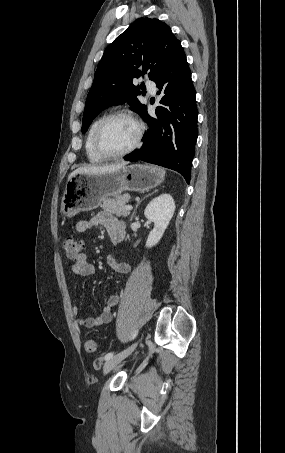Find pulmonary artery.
<instances>
[{"label": "pulmonary artery", "instance_id": "pulmonary-artery-1", "mask_svg": "<svg viewBox=\"0 0 285 453\" xmlns=\"http://www.w3.org/2000/svg\"><path fill=\"white\" fill-rule=\"evenodd\" d=\"M147 88L151 94L156 93V84L153 81H147Z\"/></svg>", "mask_w": 285, "mask_h": 453}]
</instances>
